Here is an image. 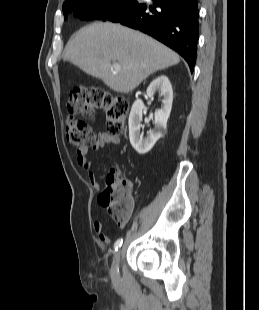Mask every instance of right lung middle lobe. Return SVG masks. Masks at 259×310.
Returning <instances> with one entry per match:
<instances>
[{"label": "right lung middle lobe", "mask_w": 259, "mask_h": 310, "mask_svg": "<svg viewBox=\"0 0 259 310\" xmlns=\"http://www.w3.org/2000/svg\"><path fill=\"white\" fill-rule=\"evenodd\" d=\"M137 0H100L92 3L82 4L80 2H71L63 5L64 18L71 9L74 16L84 20H110L119 22L130 12L140 6Z\"/></svg>", "instance_id": "right-lung-middle-lobe-1"}]
</instances>
